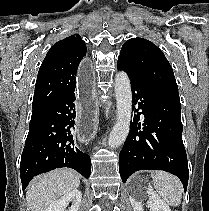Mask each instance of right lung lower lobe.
<instances>
[{
    "label": "right lung lower lobe",
    "instance_id": "1",
    "mask_svg": "<svg viewBox=\"0 0 209 211\" xmlns=\"http://www.w3.org/2000/svg\"><path fill=\"white\" fill-rule=\"evenodd\" d=\"M74 101V92L64 95L42 109L30 123L20 162L23 189L34 176L61 167L73 168L89 178L90 157L73 140Z\"/></svg>",
    "mask_w": 209,
    "mask_h": 211
}]
</instances>
